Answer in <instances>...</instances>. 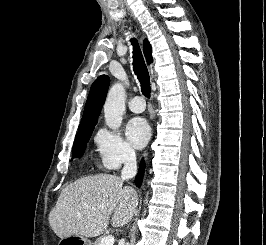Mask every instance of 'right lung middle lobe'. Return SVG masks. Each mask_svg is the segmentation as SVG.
<instances>
[{"instance_id": "obj_1", "label": "right lung middle lobe", "mask_w": 266, "mask_h": 245, "mask_svg": "<svg viewBox=\"0 0 266 245\" xmlns=\"http://www.w3.org/2000/svg\"><path fill=\"white\" fill-rule=\"evenodd\" d=\"M96 123L97 121H94L78 127V133L76 134L72 151L73 158L83 155Z\"/></svg>"}]
</instances>
